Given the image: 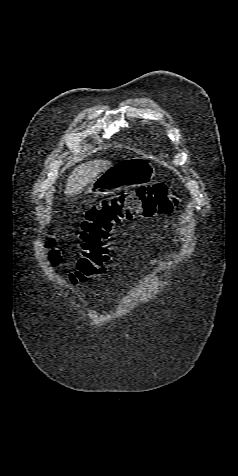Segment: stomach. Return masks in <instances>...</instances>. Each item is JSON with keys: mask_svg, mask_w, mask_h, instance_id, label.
Returning a JSON list of instances; mask_svg holds the SVG:
<instances>
[{"mask_svg": "<svg viewBox=\"0 0 238 476\" xmlns=\"http://www.w3.org/2000/svg\"><path fill=\"white\" fill-rule=\"evenodd\" d=\"M150 164H143L142 156H133L129 161L112 166L101 173L90 185L89 190L109 191L128 190L129 183H146L151 177Z\"/></svg>", "mask_w": 238, "mask_h": 476, "instance_id": "1", "label": "stomach"}]
</instances>
